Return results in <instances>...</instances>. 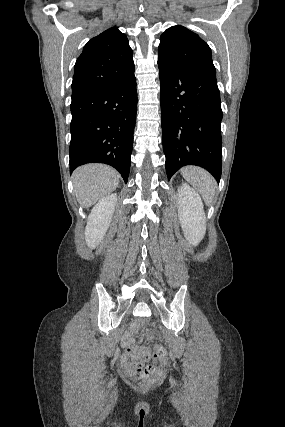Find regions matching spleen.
Instances as JSON below:
<instances>
[{
	"mask_svg": "<svg viewBox=\"0 0 285 427\" xmlns=\"http://www.w3.org/2000/svg\"><path fill=\"white\" fill-rule=\"evenodd\" d=\"M181 174L184 179L189 182L202 196L204 202L207 205H210L213 201L216 190V181L211 174L196 166L182 168Z\"/></svg>",
	"mask_w": 285,
	"mask_h": 427,
	"instance_id": "3e777b00",
	"label": "spleen"
}]
</instances>
